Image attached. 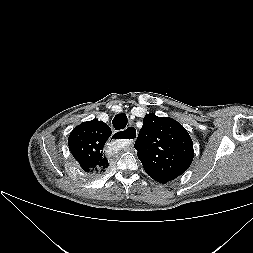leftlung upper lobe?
Masks as SVG:
<instances>
[{"mask_svg": "<svg viewBox=\"0 0 253 253\" xmlns=\"http://www.w3.org/2000/svg\"><path fill=\"white\" fill-rule=\"evenodd\" d=\"M134 147L146 173L159 183L183 174L194 155L187 130L176 120L154 113L145 115Z\"/></svg>", "mask_w": 253, "mask_h": 253, "instance_id": "left-lung-upper-lobe-1", "label": "left lung upper lobe"}]
</instances>
